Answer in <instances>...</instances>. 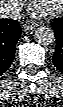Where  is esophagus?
Instances as JSON below:
<instances>
[{"label":"esophagus","mask_w":63,"mask_h":107,"mask_svg":"<svg viewBox=\"0 0 63 107\" xmlns=\"http://www.w3.org/2000/svg\"><path fill=\"white\" fill-rule=\"evenodd\" d=\"M38 26V24L33 21V20H28L25 24H24V29L26 30H32L34 28H36Z\"/></svg>","instance_id":"esophagus-1"}]
</instances>
